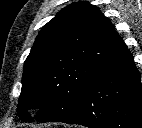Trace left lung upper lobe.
I'll use <instances>...</instances> for the list:
<instances>
[{
    "label": "left lung upper lobe",
    "instance_id": "obj_1",
    "mask_svg": "<svg viewBox=\"0 0 142 128\" xmlns=\"http://www.w3.org/2000/svg\"><path fill=\"white\" fill-rule=\"evenodd\" d=\"M98 7L73 3L61 10L38 34L25 60L18 114L41 122L65 118L89 81L125 47Z\"/></svg>",
    "mask_w": 142,
    "mask_h": 128
}]
</instances>
